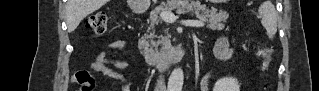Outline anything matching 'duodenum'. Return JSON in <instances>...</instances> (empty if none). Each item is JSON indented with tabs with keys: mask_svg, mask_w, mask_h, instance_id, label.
I'll list each match as a JSON object with an SVG mask.
<instances>
[{
	"mask_svg": "<svg viewBox=\"0 0 319 91\" xmlns=\"http://www.w3.org/2000/svg\"><path fill=\"white\" fill-rule=\"evenodd\" d=\"M182 53L183 48L181 46H177L171 50L158 54H146L145 61L151 68L165 69L176 63Z\"/></svg>",
	"mask_w": 319,
	"mask_h": 91,
	"instance_id": "410a0bca",
	"label": "duodenum"
}]
</instances>
